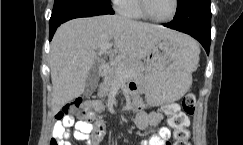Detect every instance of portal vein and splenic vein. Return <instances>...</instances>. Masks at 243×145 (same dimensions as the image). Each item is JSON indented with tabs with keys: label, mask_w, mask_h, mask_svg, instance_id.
<instances>
[{
	"label": "portal vein and splenic vein",
	"mask_w": 243,
	"mask_h": 145,
	"mask_svg": "<svg viewBox=\"0 0 243 145\" xmlns=\"http://www.w3.org/2000/svg\"><path fill=\"white\" fill-rule=\"evenodd\" d=\"M112 43H108L105 46H103L100 50V53H106L108 55H110V57L113 56V54L111 52H109L108 50L112 47Z\"/></svg>",
	"instance_id": "1"
}]
</instances>
